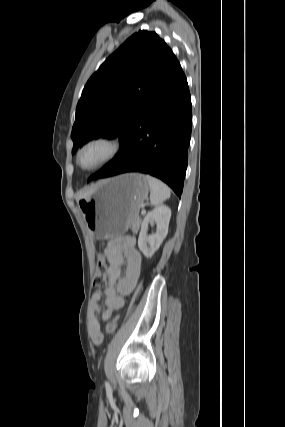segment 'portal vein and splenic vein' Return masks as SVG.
<instances>
[{
	"mask_svg": "<svg viewBox=\"0 0 285 427\" xmlns=\"http://www.w3.org/2000/svg\"><path fill=\"white\" fill-rule=\"evenodd\" d=\"M141 214H142V215H145V214H146V210H142V211H141Z\"/></svg>",
	"mask_w": 285,
	"mask_h": 427,
	"instance_id": "18ae733b",
	"label": "portal vein and splenic vein"
}]
</instances>
